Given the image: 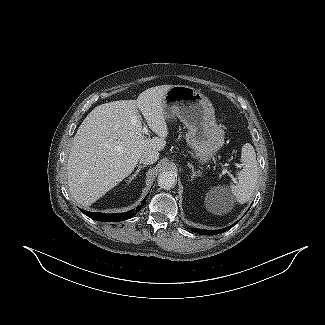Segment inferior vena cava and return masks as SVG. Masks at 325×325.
I'll return each mask as SVG.
<instances>
[{
	"mask_svg": "<svg viewBox=\"0 0 325 325\" xmlns=\"http://www.w3.org/2000/svg\"><path fill=\"white\" fill-rule=\"evenodd\" d=\"M159 158V153L155 150H146L139 156V162L145 165L155 163Z\"/></svg>",
	"mask_w": 325,
	"mask_h": 325,
	"instance_id": "obj_1",
	"label": "inferior vena cava"
}]
</instances>
